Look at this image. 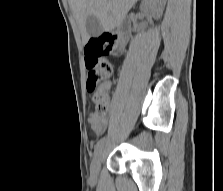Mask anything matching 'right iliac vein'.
<instances>
[{"label":"right iliac vein","instance_id":"1","mask_svg":"<svg viewBox=\"0 0 223 191\" xmlns=\"http://www.w3.org/2000/svg\"><path fill=\"white\" fill-rule=\"evenodd\" d=\"M104 152L103 149L101 148L95 155L92 164H91V176L93 178H96L98 176L99 173V168H100V164L103 158Z\"/></svg>","mask_w":223,"mask_h":191}]
</instances>
